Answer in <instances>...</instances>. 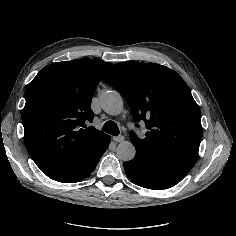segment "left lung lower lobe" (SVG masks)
<instances>
[{
	"label": "left lung lower lobe",
	"instance_id": "1",
	"mask_svg": "<svg viewBox=\"0 0 236 236\" xmlns=\"http://www.w3.org/2000/svg\"><path fill=\"white\" fill-rule=\"evenodd\" d=\"M136 148L135 157L124 163L127 176L138 186L161 190L180 182L185 173L167 161Z\"/></svg>",
	"mask_w": 236,
	"mask_h": 236
}]
</instances>
